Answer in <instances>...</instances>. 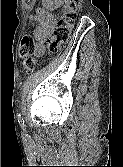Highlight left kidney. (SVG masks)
<instances>
[{
	"label": "left kidney",
	"instance_id": "left-kidney-1",
	"mask_svg": "<svg viewBox=\"0 0 123 167\" xmlns=\"http://www.w3.org/2000/svg\"><path fill=\"white\" fill-rule=\"evenodd\" d=\"M44 2H45V4L47 5V6H49V2L51 1V0H43ZM61 0H57V2L55 3V5H54V8H57V7H59L60 5H61Z\"/></svg>",
	"mask_w": 123,
	"mask_h": 167
}]
</instances>
